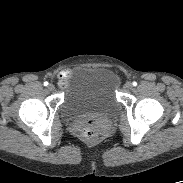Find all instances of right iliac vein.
Listing matches in <instances>:
<instances>
[{
    "label": "right iliac vein",
    "mask_w": 183,
    "mask_h": 183,
    "mask_svg": "<svg viewBox=\"0 0 183 183\" xmlns=\"http://www.w3.org/2000/svg\"><path fill=\"white\" fill-rule=\"evenodd\" d=\"M55 89V86L53 84L48 85V90L53 91Z\"/></svg>",
    "instance_id": "63e3f726"
}]
</instances>
